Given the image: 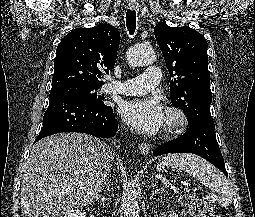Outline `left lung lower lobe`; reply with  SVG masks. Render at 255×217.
<instances>
[{"label":"left lung lower lobe","instance_id":"1","mask_svg":"<svg viewBox=\"0 0 255 217\" xmlns=\"http://www.w3.org/2000/svg\"><path fill=\"white\" fill-rule=\"evenodd\" d=\"M214 122L199 121L189 126V129L180 137L171 142L158 146L153 155L166 153H193L199 155L218 169L226 176L225 163L214 134Z\"/></svg>","mask_w":255,"mask_h":217}]
</instances>
